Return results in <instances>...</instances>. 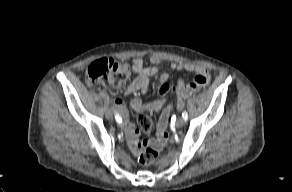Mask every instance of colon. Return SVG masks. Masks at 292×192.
I'll list each match as a JSON object with an SVG mask.
<instances>
[{"instance_id": "colon-1", "label": "colon", "mask_w": 292, "mask_h": 192, "mask_svg": "<svg viewBox=\"0 0 292 192\" xmlns=\"http://www.w3.org/2000/svg\"><path fill=\"white\" fill-rule=\"evenodd\" d=\"M129 76V65L124 62H118L112 58H102L94 61L88 66L85 74L87 82L91 85L102 87L111 86L114 88H120L127 81ZM161 90L160 88V91ZM166 90L167 88L164 91L166 92ZM138 124L143 131H148L151 126L150 115L141 114L138 117ZM157 157L158 149H156L154 145H146L140 151L138 161L143 166H149L155 162Z\"/></svg>"}]
</instances>
